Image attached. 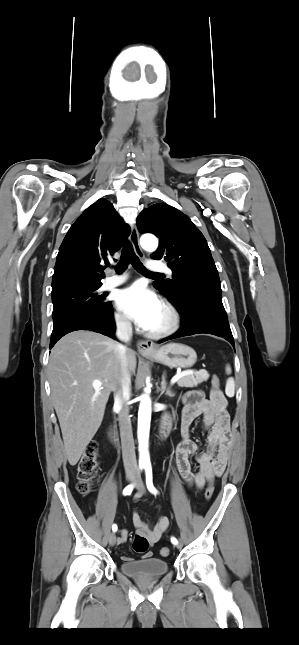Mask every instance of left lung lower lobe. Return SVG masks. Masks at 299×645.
<instances>
[{
	"label": "left lung lower lobe",
	"mask_w": 299,
	"mask_h": 645,
	"mask_svg": "<svg viewBox=\"0 0 299 645\" xmlns=\"http://www.w3.org/2000/svg\"><path fill=\"white\" fill-rule=\"evenodd\" d=\"M171 303L181 315V328L177 333L160 342L206 333L223 337L235 347L227 314L222 303L220 285L204 286L195 295L187 296L177 301L171 300Z\"/></svg>",
	"instance_id": "0a47b994"
}]
</instances>
